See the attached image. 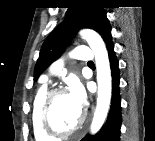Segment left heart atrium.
Segmentation results:
<instances>
[{"instance_id": "1", "label": "left heart atrium", "mask_w": 155, "mask_h": 141, "mask_svg": "<svg viewBox=\"0 0 155 141\" xmlns=\"http://www.w3.org/2000/svg\"><path fill=\"white\" fill-rule=\"evenodd\" d=\"M68 96L73 104L81 111L86 102L85 91L82 85L77 82L71 83Z\"/></svg>"}]
</instances>
